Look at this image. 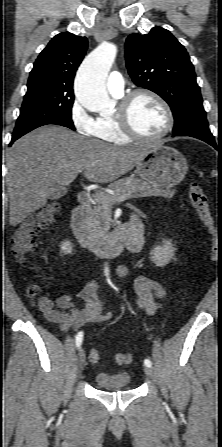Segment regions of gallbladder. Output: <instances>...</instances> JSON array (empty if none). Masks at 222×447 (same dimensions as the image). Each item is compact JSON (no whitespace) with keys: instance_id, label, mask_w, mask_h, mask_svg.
I'll use <instances>...</instances> for the list:
<instances>
[{"instance_id":"obj_1","label":"gallbladder","mask_w":222,"mask_h":447,"mask_svg":"<svg viewBox=\"0 0 222 447\" xmlns=\"http://www.w3.org/2000/svg\"><path fill=\"white\" fill-rule=\"evenodd\" d=\"M66 193H67L66 188L59 185H54L49 192L48 199L57 200L66 195Z\"/></svg>"}]
</instances>
